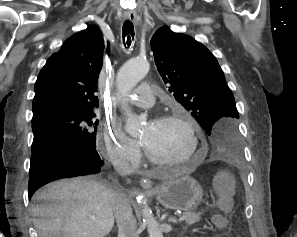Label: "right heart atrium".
<instances>
[{"label": "right heart atrium", "mask_w": 297, "mask_h": 237, "mask_svg": "<svg viewBox=\"0 0 297 237\" xmlns=\"http://www.w3.org/2000/svg\"><path fill=\"white\" fill-rule=\"evenodd\" d=\"M106 156L121 166H136L140 160L139 146L125 136L114 124L108 123L104 128Z\"/></svg>", "instance_id": "d8ad5b80"}]
</instances>
